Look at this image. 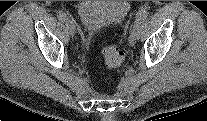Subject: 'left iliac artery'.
<instances>
[{"label":"left iliac artery","mask_w":207,"mask_h":121,"mask_svg":"<svg viewBox=\"0 0 207 121\" xmlns=\"http://www.w3.org/2000/svg\"><path fill=\"white\" fill-rule=\"evenodd\" d=\"M147 16H148L147 10L145 9L140 10L136 15L134 26L137 24H141L147 18Z\"/></svg>","instance_id":"left-iliac-artery-1"}]
</instances>
